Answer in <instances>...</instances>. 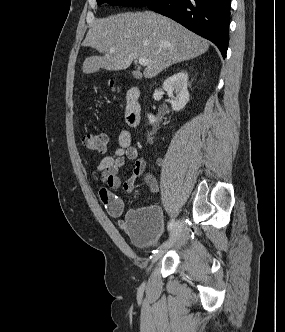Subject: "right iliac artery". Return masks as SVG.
<instances>
[{
  "mask_svg": "<svg viewBox=\"0 0 285 332\" xmlns=\"http://www.w3.org/2000/svg\"><path fill=\"white\" fill-rule=\"evenodd\" d=\"M174 225H175V220L171 219L170 222L168 223V230H171Z\"/></svg>",
  "mask_w": 285,
  "mask_h": 332,
  "instance_id": "obj_1",
  "label": "right iliac artery"
}]
</instances>
